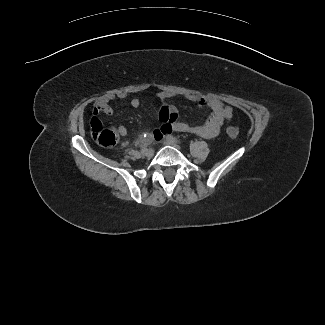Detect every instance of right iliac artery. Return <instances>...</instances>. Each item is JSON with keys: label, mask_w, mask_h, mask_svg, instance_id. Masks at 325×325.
<instances>
[{"label": "right iliac artery", "mask_w": 325, "mask_h": 325, "mask_svg": "<svg viewBox=\"0 0 325 325\" xmlns=\"http://www.w3.org/2000/svg\"><path fill=\"white\" fill-rule=\"evenodd\" d=\"M146 150H147L146 146H143V147L141 148V152H142L143 154L145 153Z\"/></svg>", "instance_id": "82829eb1"}]
</instances>
